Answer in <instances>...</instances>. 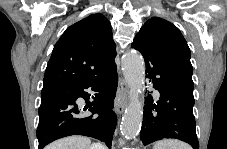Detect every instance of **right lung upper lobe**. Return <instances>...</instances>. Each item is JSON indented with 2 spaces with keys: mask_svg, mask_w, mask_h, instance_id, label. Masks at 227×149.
Here are the masks:
<instances>
[{
  "mask_svg": "<svg viewBox=\"0 0 227 149\" xmlns=\"http://www.w3.org/2000/svg\"><path fill=\"white\" fill-rule=\"evenodd\" d=\"M116 56L109 21L90 15L68 27L54 46L43 80V89L68 87L100 70Z\"/></svg>",
  "mask_w": 227,
  "mask_h": 149,
  "instance_id": "right-lung-upper-lobe-1",
  "label": "right lung upper lobe"
}]
</instances>
